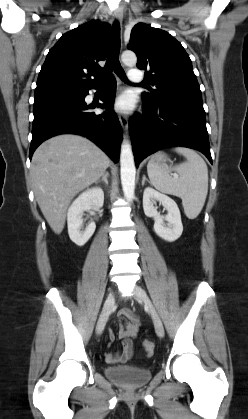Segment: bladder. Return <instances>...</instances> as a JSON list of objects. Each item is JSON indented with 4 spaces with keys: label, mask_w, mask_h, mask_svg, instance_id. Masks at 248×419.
<instances>
[{
    "label": "bladder",
    "mask_w": 248,
    "mask_h": 419,
    "mask_svg": "<svg viewBox=\"0 0 248 419\" xmlns=\"http://www.w3.org/2000/svg\"><path fill=\"white\" fill-rule=\"evenodd\" d=\"M105 376L126 389H136L146 385L152 373L150 369L135 366H109L104 369Z\"/></svg>",
    "instance_id": "31cf9c89"
}]
</instances>
